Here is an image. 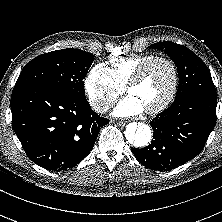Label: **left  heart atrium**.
I'll return each mask as SVG.
<instances>
[{
  "mask_svg": "<svg viewBox=\"0 0 222 222\" xmlns=\"http://www.w3.org/2000/svg\"><path fill=\"white\" fill-rule=\"evenodd\" d=\"M145 110L142 102L133 94L122 99L113 111L116 116L127 117L142 113Z\"/></svg>",
  "mask_w": 222,
  "mask_h": 222,
  "instance_id": "left-heart-atrium-1",
  "label": "left heart atrium"
}]
</instances>
